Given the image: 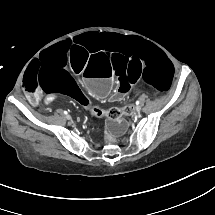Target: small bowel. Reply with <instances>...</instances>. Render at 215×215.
Returning a JSON list of instances; mask_svg holds the SVG:
<instances>
[{
    "instance_id": "c3829d8e",
    "label": "small bowel",
    "mask_w": 215,
    "mask_h": 215,
    "mask_svg": "<svg viewBox=\"0 0 215 215\" xmlns=\"http://www.w3.org/2000/svg\"><path fill=\"white\" fill-rule=\"evenodd\" d=\"M115 98H116V100H121V99H122V96L119 95V94H115ZM30 102H31L32 104H37V103H38V97H37L36 95L32 96V97L30 98ZM78 102H79V101H78Z\"/></svg>"
}]
</instances>
